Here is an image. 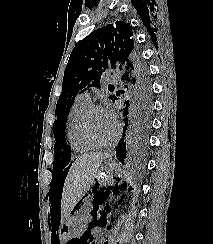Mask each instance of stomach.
Masks as SVG:
<instances>
[{
  "label": "stomach",
  "instance_id": "1",
  "mask_svg": "<svg viewBox=\"0 0 213 244\" xmlns=\"http://www.w3.org/2000/svg\"><path fill=\"white\" fill-rule=\"evenodd\" d=\"M113 161L111 155H107L103 160V164L100 170L97 172L94 178V184L96 185H104L110 182L113 179ZM81 217L80 210L78 208V204L74 206L69 216L64 220V222L60 226V236L63 238H70L74 234L81 231Z\"/></svg>",
  "mask_w": 213,
  "mask_h": 244
}]
</instances>
